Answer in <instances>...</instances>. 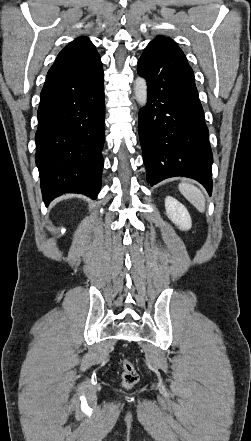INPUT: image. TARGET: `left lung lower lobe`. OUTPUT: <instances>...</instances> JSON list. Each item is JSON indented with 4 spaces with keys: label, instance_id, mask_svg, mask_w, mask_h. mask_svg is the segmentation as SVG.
<instances>
[{
    "label": "left lung lower lobe",
    "instance_id": "0a47b994",
    "mask_svg": "<svg viewBox=\"0 0 251 441\" xmlns=\"http://www.w3.org/2000/svg\"><path fill=\"white\" fill-rule=\"evenodd\" d=\"M148 102L139 112V138L151 186L174 176L199 181L211 195L213 155L208 128L184 54L147 46L138 60Z\"/></svg>",
    "mask_w": 251,
    "mask_h": 441
}]
</instances>
